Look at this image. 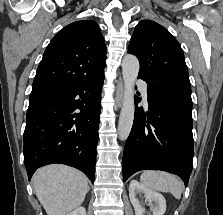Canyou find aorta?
Returning a JSON list of instances; mask_svg holds the SVG:
<instances>
[{
	"label": "aorta",
	"instance_id": "obj_1",
	"mask_svg": "<svg viewBox=\"0 0 223 215\" xmlns=\"http://www.w3.org/2000/svg\"><path fill=\"white\" fill-rule=\"evenodd\" d=\"M136 56L127 54L122 60V76L124 82L123 104L118 123L120 139H127L134 119V86L139 72Z\"/></svg>",
	"mask_w": 223,
	"mask_h": 215
}]
</instances>
